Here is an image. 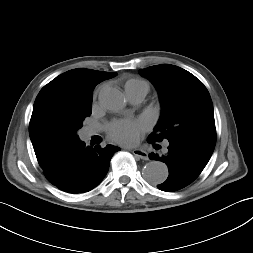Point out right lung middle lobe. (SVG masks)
I'll use <instances>...</instances> for the list:
<instances>
[{
  "label": "right lung middle lobe",
  "instance_id": "dd1d6c3e",
  "mask_svg": "<svg viewBox=\"0 0 253 253\" xmlns=\"http://www.w3.org/2000/svg\"><path fill=\"white\" fill-rule=\"evenodd\" d=\"M91 112L92 98L56 101L45 109L42 124L53 137L74 144L80 140L77 131Z\"/></svg>",
  "mask_w": 253,
  "mask_h": 253
}]
</instances>
